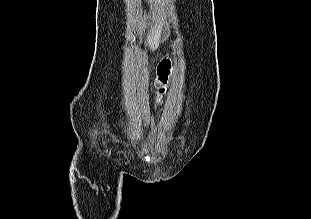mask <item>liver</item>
<instances>
[{"label": "liver", "instance_id": "6515ba94", "mask_svg": "<svg viewBox=\"0 0 311 219\" xmlns=\"http://www.w3.org/2000/svg\"><path fill=\"white\" fill-rule=\"evenodd\" d=\"M151 7H157L158 5L164 6L167 3V0H148ZM159 16L157 15V10L153 12V23L155 22L154 27L150 30L149 35L147 37V44L154 46L156 44V39L159 36V32L157 26L159 23Z\"/></svg>", "mask_w": 311, "mask_h": 219}]
</instances>
